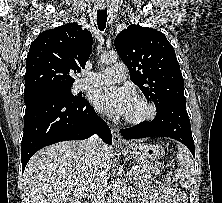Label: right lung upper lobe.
I'll use <instances>...</instances> for the list:
<instances>
[{"mask_svg": "<svg viewBox=\"0 0 222 203\" xmlns=\"http://www.w3.org/2000/svg\"><path fill=\"white\" fill-rule=\"evenodd\" d=\"M91 49V33L76 23L40 33L31 43L26 59L24 93L72 86L70 73L85 68Z\"/></svg>", "mask_w": 222, "mask_h": 203, "instance_id": "1", "label": "right lung upper lobe"}]
</instances>
